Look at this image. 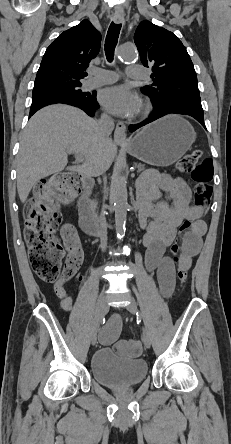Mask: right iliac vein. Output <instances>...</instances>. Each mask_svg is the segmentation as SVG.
I'll list each match as a JSON object with an SVG mask.
<instances>
[{
  "instance_id": "1",
  "label": "right iliac vein",
  "mask_w": 231,
  "mask_h": 444,
  "mask_svg": "<svg viewBox=\"0 0 231 444\" xmlns=\"http://www.w3.org/2000/svg\"><path fill=\"white\" fill-rule=\"evenodd\" d=\"M107 311H108L107 300L105 298H103L100 303L98 315H97L96 321L94 323V326H93L92 332H91L92 345H95L97 342V334H98L99 324L102 321V319L104 318V316L106 315Z\"/></svg>"
}]
</instances>
